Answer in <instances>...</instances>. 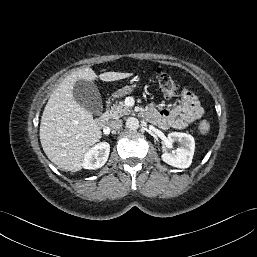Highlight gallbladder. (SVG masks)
Returning <instances> with one entry per match:
<instances>
[{
  "instance_id": "1",
  "label": "gallbladder",
  "mask_w": 257,
  "mask_h": 257,
  "mask_svg": "<svg viewBox=\"0 0 257 257\" xmlns=\"http://www.w3.org/2000/svg\"><path fill=\"white\" fill-rule=\"evenodd\" d=\"M75 101L94 115H100L103 110L102 99L97 87L89 81L79 80L73 88Z\"/></svg>"
}]
</instances>
